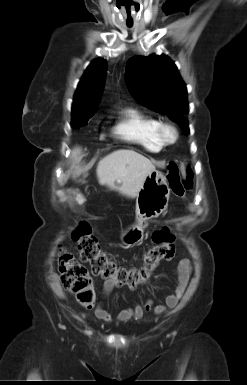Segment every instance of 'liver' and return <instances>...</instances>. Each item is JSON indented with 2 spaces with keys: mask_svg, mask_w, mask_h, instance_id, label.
I'll list each match as a JSON object with an SVG mask.
<instances>
[{
  "mask_svg": "<svg viewBox=\"0 0 247 385\" xmlns=\"http://www.w3.org/2000/svg\"><path fill=\"white\" fill-rule=\"evenodd\" d=\"M80 154L73 151V157ZM155 170L152 162L133 150H117L104 157L98 163L96 173L101 185L120 192L128 198L137 196L148 174ZM76 201L83 204L85 199L78 194Z\"/></svg>",
  "mask_w": 247,
  "mask_h": 385,
  "instance_id": "1",
  "label": "liver"
}]
</instances>
